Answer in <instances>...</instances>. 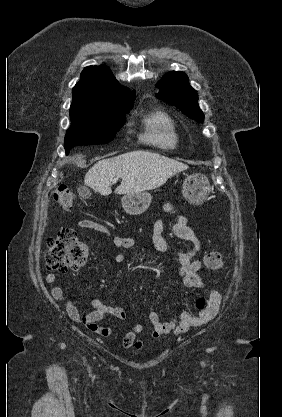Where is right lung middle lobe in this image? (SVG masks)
I'll list each match as a JSON object with an SVG mask.
<instances>
[{"label": "right lung middle lobe", "mask_w": 282, "mask_h": 417, "mask_svg": "<svg viewBox=\"0 0 282 417\" xmlns=\"http://www.w3.org/2000/svg\"><path fill=\"white\" fill-rule=\"evenodd\" d=\"M132 96L74 97L71 126L65 136L66 153L74 146L108 143L124 125L133 107Z\"/></svg>", "instance_id": "obj_1"}]
</instances>
